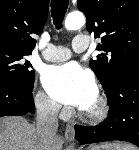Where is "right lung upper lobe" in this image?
<instances>
[{"instance_id": "obj_1", "label": "right lung upper lobe", "mask_w": 139, "mask_h": 150, "mask_svg": "<svg viewBox=\"0 0 139 150\" xmlns=\"http://www.w3.org/2000/svg\"><path fill=\"white\" fill-rule=\"evenodd\" d=\"M48 9L49 0H0V48L31 53Z\"/></svg>"}]
</instances>
